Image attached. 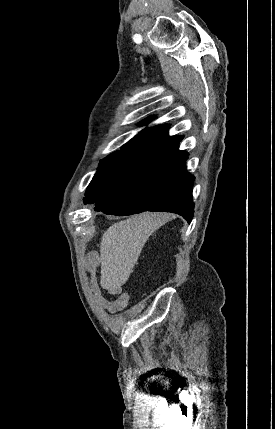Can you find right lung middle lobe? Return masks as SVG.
<instances>
[{
	"instance_id": "1",
	"label": "right lung middle lobe",
	"mask_w": 275,
	"mask_h": 429,
	"mask_svg": "<svg viewBox=\"0 0 275 429\" xmlns=\"http://www.w3.org/2000/svg\"><path fill=\"white\" fill-rule=\"evenodd\" d=\"M149 160L151 159L120 151L108 155L101 160L99 169L87 188L84 202L91 204L109 196L135 176Z\"/></svg>"
}]
</instances>
